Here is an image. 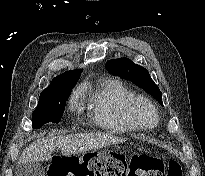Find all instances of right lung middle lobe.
<instances>
[{
	"instance_id": "obj_1",
	"label": "right lung middle lobe",
	"mask_w": 205,
	"mask_h": 176,
	"mask_svg": "<svg viewBox=\"0 0 205 176\" xmlns=\"http://www.w3.org/2000/svg\"><path fill=\"white\" fill-rule=\"evenodd\" d=\"M71 91L72 89L68 88L40 96L38 105L32 114L33 128L38 129L48 122H59Z\"/></svg>"
}]
</instances>
